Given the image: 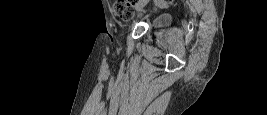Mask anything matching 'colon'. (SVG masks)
I'll use <instances>...</instances> for the list:
<instances>
[{
  "mask_svg": "<svg viewBox=\"0 0 267 115\" xmlns=\"http://www.w3.org/2000/svg\"><path fill=\"white\" fill-rule=\"evenodd\" d=\"M115 14L123 21H130L134 18L133 5L126 0H118L114 4Z\"/></svg>",
  "mask_w": 267,
  "mask_h": 115,
  "instance_id": "obj_1",
  "label": "colon"
}]
</instances>
